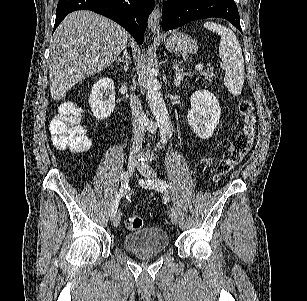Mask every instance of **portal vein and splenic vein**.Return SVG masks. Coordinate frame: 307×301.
<instances>
[{
  "label": "portal vein and splenic vein",
  "mask_w": 307,
  "mask_h": 301,
  "mask_svg": "<svg viewBox=\"0 0 307 301\" xmlns=\"http://www.w3.org/2000/svg\"><path fill=\"white\" fill-rule=\"evenodd\" d=\"M203 68H204V64H196L195 66V70H199V72L200 70H203Z\"/></svg>",
  "instance_id": "obj_1"
}]
</instances>
